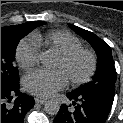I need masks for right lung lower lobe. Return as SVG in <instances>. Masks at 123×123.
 I'll return each instance as SVG.
<instances>
[{"label":"right lung lower lobe","mask_w":123,"mask_h":123,"mask_svg":"<svg viewBox=\"0 0 123 123\" xmlns=\"http://www.w3.org/2000/svg\"><path fill=\"white\" fill-rule=\"evenodd\" d=\"M17 98L10 106L7 102L12 100V96ZM35 105L34 98L21 93L19 84L16 86L1 83V123H24V117Z\"/></svg>","instance_id":"right-lung-lower-lobe-1"}]
</instances>
